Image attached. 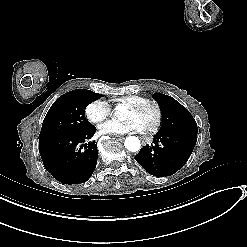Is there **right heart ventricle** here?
<instances>
[{"instance_id":"right-heart-ventricle-1","label":"right heart ventricle","mask_w":247,"mask_h":247,"mask_svg":"<svg viewBox=\"0 0 247 247\" xmlns=\"http://www.w3.org/2000/svg\"><path fill=\"white\" fill-rule=\"evenodd\" d=\"M142 99H143V97H141V96H123V97H120L114 101L119 106H127L130 104H135Z\"/></svg>"}]
</instances>
